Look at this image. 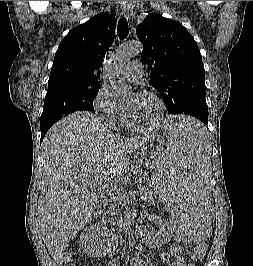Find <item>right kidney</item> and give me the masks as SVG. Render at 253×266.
I'll list each match as a JSON object with an SVG mask.
<instances>
[{"instance_id":"ca27d5eb","label":"right kidney","mask_w":253,"mask_h":266,"mask_svg":"<svg viewBox=\"0 0 253 266\" xmlns=\"http://www.w3.org/2000/svg\"><path fill=\"white\" fill-rule=\"evenodd\" d=\"M108 233L105 228L91 225L83 230L80 235V245L90 257H102L106 254Z\"/></svg>"}]
</instances>
